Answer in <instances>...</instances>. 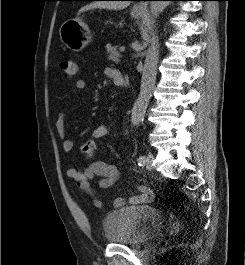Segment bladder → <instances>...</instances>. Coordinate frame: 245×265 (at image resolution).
<instances>
[{
    "mask_svg": "<svg viewBox=\"0 0 245 265\" xmlns=\"http://www.w3.org/2000/svg\"><path fill=\"white\" fill-rule=\"evenodd\" d=\"M164 221V215L153 206H126L106 215L103 236L113 244L138 246L151 240Z\"/></svg>",
    "mask_w": 245,
    "mask_h": 265,
    "instance_id": "1",
    "label": "bladder"
}]
</instances>
